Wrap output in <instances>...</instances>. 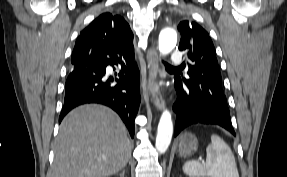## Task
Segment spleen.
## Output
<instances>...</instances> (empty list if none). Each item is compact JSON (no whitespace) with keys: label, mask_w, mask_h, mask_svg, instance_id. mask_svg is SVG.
Here are the masks:
<instances>
[{"label":"spleen","mask_w":287,"mask_h":177,"mask_svg":"<svg viewBox=\"0 0 287 177\" xmlns=\"http://www.w3.org/2000/svg\"><path fill=\"white\" fill-rule=\"evenodd\" d=\"M206 152V163L187 161L184 173L189 177H239L234 154L222 138L212 135Z\"/></svg>","instance_id":"1"}]
</instances>
